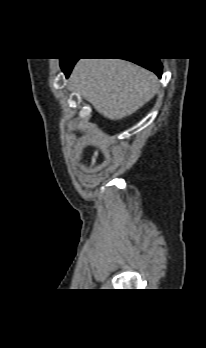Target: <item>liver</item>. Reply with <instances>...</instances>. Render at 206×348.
<instances>
[{"label":"liver","instance_id":"6515ba94","mask_svg":"<svg viewBox=\"0 0 206 348\" xmlns=\"http://www.w3.org/2000/svg\"><path fill=\"white\" fill-rule=\"evenodd\" d=\"M70 80L82 97L110 120L130 116L159 90L154 73L122 59H81Z\"/></svg>","mask_w":206,"mask_h":348}]
</instances>
